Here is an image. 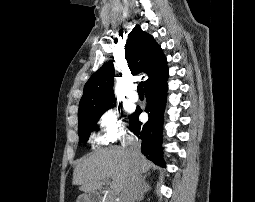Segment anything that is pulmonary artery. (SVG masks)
<instances>
[{
	"mask_svg": "<svg viewBox=\"0 0 255 202\" xmlns=\"http://www.w3.org/2000/svg\"><path fill=\"white\" fill-rule=\"evenodd\" d=\"M127 98L129 101L131 102H137L138 101V94L137 92L135 91V89H132L128 95H127Z\"/></svg>",
	"mask_w": 255,
	"mask_h": 202,
	"instance_id": "e3ab8cb5",
	"label": "pulmonary artery"
}]
</instances>
